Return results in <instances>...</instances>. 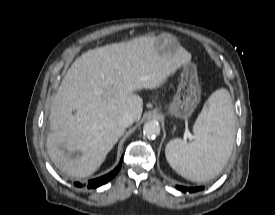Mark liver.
Segmentation results:
<instances>
[{"mask_svg": "<svg viewBox=\"0 0 275 215\" xmlns=\"http://www.w3.org/2000/svg\"><path fill=\"white\" fill-rule=\"evenodd\" d=\"M155 36H141L85 52L72 64L49 115L52 133L47 137L51 161L65 174L84 178L105 160L125 127L118 125L125 112L139 121L143 100L141 89H155L191 54L181 48L161 55Z\"/></svg>", "mask_w": 275, "mask_h": 215, "instance_id": "6515ba94", "label": "liver"}]
</instances>
